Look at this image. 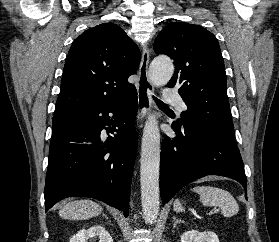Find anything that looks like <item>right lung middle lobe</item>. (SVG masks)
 I'll list each match as a JSON object with an SVG mask.
<instances>
[{"label":"right lung middle lobe","mask_w":279,"mask_h":242,"mask_svg":"<svg viewBox=\"0 0 279 242\" xmlns=\"http://www.w3.org/2000/svg\"><path fill=\"white\" fill-rule=\"evenodd\" d=\"M59 123H60V119L59 118H53L52 128L57 126Z\"/></svg>","instance_id":"1"}]
</instances>
